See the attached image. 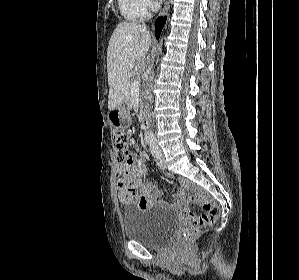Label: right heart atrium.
Masks as SVG:
<instances>
[{
  "label": "right heart atrium",
  "instance_id": "right-heart-atrium-1",
  "mask_svg": "<svg viewBox=\"0 0 299 280\" xmlns=\"http://www.w3.org/2000/svg\"><path fill=\"white\" fill-rule=\"evenodd\" d=\"M141 2L147 11H151L157 6L156 0H141Z\"/></svg>",
  "mask_w": 299,
  "mask_h": 280
}]
</instances>
